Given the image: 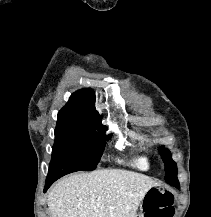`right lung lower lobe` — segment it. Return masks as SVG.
Returning <instances> with one entry per match:
<instances>
[{
	"instance_id": "98d812e1",
	"label": "right lung lower lobe",
	"mask_w": 211,
	"mask_h": 217,
	"mask_svg": "<svg viewBox=\"0 0 211 217\" xmlns=\"http://www.w3.org/2000/svg\"><path fill=\"white\" fill-rule=\"evenodd\" d=\"M59 178H53V179H47L46 184L44 187V192L52 185L53 182H55Z\"/></svg>"
}]
</instances>
